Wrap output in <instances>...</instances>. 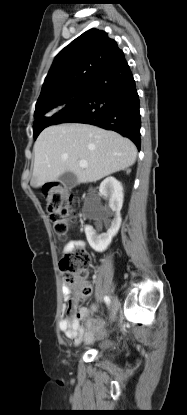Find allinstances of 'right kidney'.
Masks as SVG:
<instances>
[{"label": "right kidney", "instance_id": "ca27d5eb", "mask_svg": "<svg viewBox=\"0 0 187 415\" xmlns=\"http://www.w3.org/2000/svg\"><path fill=\"white\" fill-rule=\"evenodd\" d=\"M99 193L108 198L109 208L115 213V217L106 233L98 235L92 226L86 225L85 234L91 248L97 252H103L108 248L121 225L120 210L123 204V187L114 177H108L100 184Z\"/></svg>", "mask_w": 187, "mask_h": 415}]
</instances>
